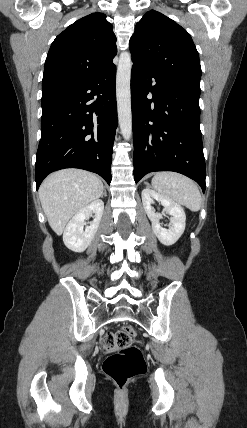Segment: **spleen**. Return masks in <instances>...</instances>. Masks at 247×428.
I'll return each instance as SVG.
<instances>
[{"label": "spleen", "mask_w": 247, "mask_h": 428, "mask_svg": "<svg viewBox=\"0 0 247 428\" xmlns=\"http://www.w3.org/2000/svg\"><path fill=\"white\" fill-rule=\"evenodd\" d=\"M152 186L164 197L186 206L191 211L201 208V194L190 178L176 172H157L152 178Z\"/></svg>", "instance_id": "3e777b00"}]
</instances>
